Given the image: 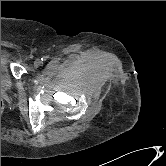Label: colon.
<instances>
[{"mask_svg":"<svg viewBox=\"0 0 166 166\" xmlns=\"http://www.w3.org/2000/svg\"><path fill=\"white\" fill-rule=\"evenodd\" d=\"M4 108H5L4 102H3V100H1V114H2L3 111H4Z\"/></svg>","mask_w":166,"mask_h":166,"instance_id":"colon-1","label":"colon"}]
</instances>
